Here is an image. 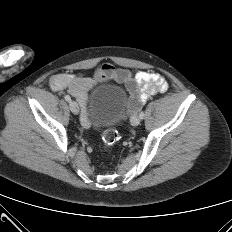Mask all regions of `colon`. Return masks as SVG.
<instances>
[{
    "instance_id": "colon-1",
    "label": "colon",
    "mask_w": 232,
    "mask_h": 232,
    "mask_svg": "<svg viewBox=\"0 0 232 232\" xmlns=\"http://www.w3.org/2000/svg\"><path fill=\"white\" fill-rule=\"evenodd\" d=\"M117 140H118V131L115 128H111L105 131L102 137L103 150L107 151L111 149Z\"/></svg>"
}]
</instances>
